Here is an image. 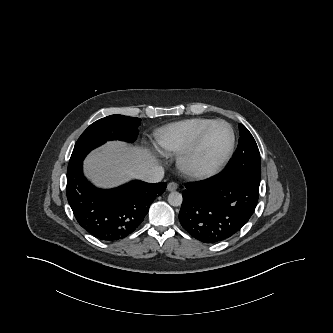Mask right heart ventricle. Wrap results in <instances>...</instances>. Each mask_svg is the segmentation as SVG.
Masks as SVG:
<instances>
[{"instance_id":"right-heart-ventricle-1","label":"right heart ventricle","mask_w":333,"mask_h":333,"mask_svg":"<svg viewBox=\"0 0 333 333\" xmlns=\"http://www.w3.org/2000/svg\"><path fill=\"white\" fill-rule=\"evenodd\" d=\"M214 119L196 117L171 123L156 134L158 148L163 153L178 154L186 150L198 134Z\"/></svg>"}]
</instances>
